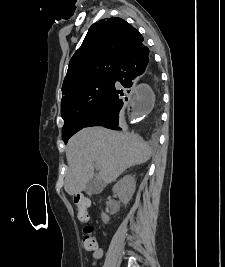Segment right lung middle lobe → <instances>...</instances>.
Returning <instances> with one entry per match:
<instances>
[{"label":"right lung middle lobe","instance_id":"1","mask_svg":"<svg viewBox=\"0 0 225 267\" xmlns=\"http://www.w3.org/2000/svg\"><path fill=\"white\" fill-rule=\"evenodd\" d=\"M113 85V74L89 80L63 94L61 115L64 119L63 141L85 127L87 121L100 108Z\"/></svg>","mask_w":225,"mask_h":267}]
</instances>
